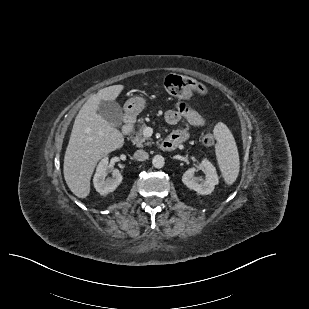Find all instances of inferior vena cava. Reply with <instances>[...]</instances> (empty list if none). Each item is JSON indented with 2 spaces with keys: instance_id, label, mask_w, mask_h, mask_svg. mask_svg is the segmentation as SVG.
I'll use <instances>...</instances> for the list:
<instances>
[{
  "instance_id": "1",
  "label": "inferior vena cava",
  "mask_w": 309,
  "mask_h": 309,
  "mask_svg": "<svg viewBox=\"0 0 309 309\" xmlns=\"http://www.w3.org/2000/svg\"><path fill=\"white\" fill-rule=\"evenodd\" d=\"M148 157H149V154L145 152L144 150H137L134 153V158L138 161H145L148 159Z\"/></svg>"
}]
</instances>
